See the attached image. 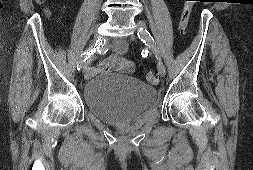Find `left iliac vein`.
I'll return each instance as SVG.
<instances>
[{"mask_svg":"<svg viewBox=\"0 0 253 170\" xmlns=\"http://www.w3.org/2000/svg\"><path fill=\"white\" fill-rule=\"evenodd\" d=\"M137 24H138L141 28L146 29V24H145V22H143V21H137ZM157 67H158V72H159L160 76L164 77L165 74H166V69H165L164 64H163L160 60L158 61Z\"/></svg>","mask_w":253,"mask_h":170,"instance_id":"1","label":"left iliac vein"}]
</instances>
